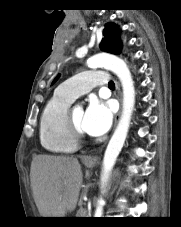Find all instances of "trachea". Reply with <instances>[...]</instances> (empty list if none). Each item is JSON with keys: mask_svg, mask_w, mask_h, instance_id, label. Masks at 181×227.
Instances as JSON below:
<instances>
[{"mask_svg": "<svg viewBox=\"0 0 181 227\" xmlns=\"http://www.w3.org/2000/svg\"><path fill=\"white\" fill-rule=\"evenodd\" d=\"M108 86H109L110 88H114V87H115V84H114L113 81H110L109 84H108Z\"/></svg>", "mask_w": 181, "mask_h": 227, "instance_id": "1", "label": "trachea"}]
</instances>
